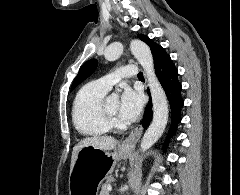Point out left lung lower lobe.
Wrapping results in <instances>:
<instances>
[{"label":"left lung lower lobe","mask_w":240,"mask_h":195,"mask_svg":"<svg viewBox=\"0 0 240 195\" xmlns=\"http://www.w3.org/2000/svg\"><path fill=\"white\" fill-rule=\"evenodd\" d=\"M155 72L160 81L171 107V126L168 131L167 140L175 133L177 125L181 121L180 110L184 105L181 97L182 86L178 80V70L170 56L167 55L154 64ZM149 93V90H148ZM152 119V101L150 100L145 108L142 121L144 128H147Z\"/></svg>","instance_id":"0a47b994"}]
</instances>
